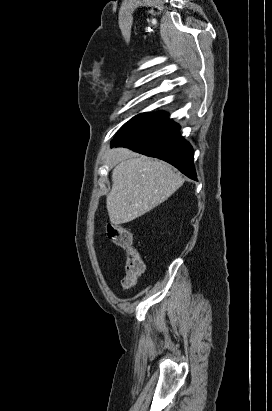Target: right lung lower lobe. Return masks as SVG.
Returning a JSON list of instances; mask_svg holds the SVG:
<instances>
[{
  "instance_id": "obj_1",
  "label": "right lung lower lobe",
  "mask_w": 272,
  "mask_h": 411,
  "mask_svg": "<svg viewBox=\"0 0 272 411\" xmlns=\"http://www.w3.org/2000/svg\"><path fill=\"white\" fill-rule=\"evenodd\" d=\"M180 126L169 118L122 139L112 140V146L128 147L141 154L164 160L187 177L197 180L193 163V148L180 135Z\"/></svg>"
}]
</instances>
